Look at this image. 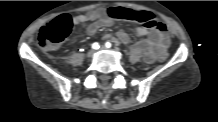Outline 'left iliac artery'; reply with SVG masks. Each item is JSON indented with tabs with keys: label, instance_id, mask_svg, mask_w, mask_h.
<instances>
[{
	"label": "left iliac artery",
	"instance_id": "1",
	"mask_svg": "<svg viewBox=\"0 0 218 122\" xmlns=\"http://www.w3.org/2000/svg\"><path fill=\"white\" fill-rule=\"evenodd\" d=\"M105 46H106L107 48H110L112 45H111L110 42H106V43H105Z\"/></svg>",
	"mask_w": 218,
	"mask_h": 122
}]
</instances>
